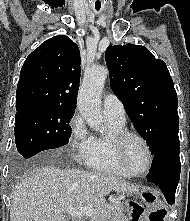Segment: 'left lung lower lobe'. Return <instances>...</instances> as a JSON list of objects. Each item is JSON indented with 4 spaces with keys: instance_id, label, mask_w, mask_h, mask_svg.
I'll use <instances>...</instances> for the list:
<instances>
[{
    "instance_id": "0a47b994",
    "label": "left lung lower lobe",
    "mask_w": 190,
    "mask_h": 221,
    "mask_svg": "<svg viewBox=\"0 0 190 221\" xmlns=\"http://www.w3.org/2000/svg\"><path fill=\"white\" fill-rule=\"evenodd\" d=\"M179 148V140L163 144L153 154L151 170L147 176V181L156 184L171 205L175 203V192L180 179Z\"/></svg>"
}]
</instances>
